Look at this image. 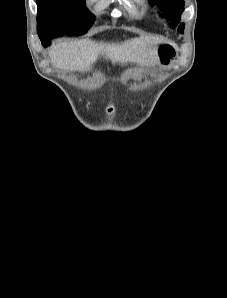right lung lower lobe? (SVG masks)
I'll list each match as a JSON object with an SVG mask.
<instances>
[{"instance_id": "1", "label": "right lung lower lobe", "mask_w": 227, "mask_h": 298, "mask_svg": "<svg viewBox=\"0 0 227 298\" xmlns=\"http://www.w3.org/2000/svg\"><path fill=\"white\" fill-rule=\"evenodd\" d=\"M39 37H40V40L42 42V45L44 47H47L48 45H50V40L52 38L56 37V35L53 34L52 32H47V33H45L43 35H40Z\"/></svg>"}]
</instances>
